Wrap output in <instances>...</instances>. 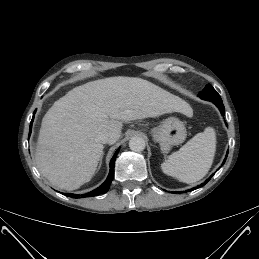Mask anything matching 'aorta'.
Listing matches in <instances>:
<instances>
[{
  "instance_id": "obj_1",
  "label": "aorta",
  "mask_w": 259,
  "mask_h": 259,
  "mask_svg": "<svg viewBox=\"0 0 259 259\" xmlns=\"http://www.w3.org/2000/svg\"><path fill=\"white\" fill-rule=\"evenodd\" d=\"M145 140L140 136H133L129 140V148L135 152H141L145 149Z\"/></svg>"
}]
</instances>
